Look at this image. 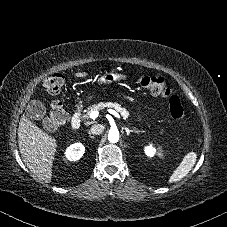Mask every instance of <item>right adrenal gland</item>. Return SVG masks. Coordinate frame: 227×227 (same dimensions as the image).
Instances as JSON below:
<instances>
[{"mask_svg": "<svg viewBox=\"0 0 227 227\" xmlns=\"http://www.w3.org/2000/svg\"><path fill=\"white\" fill-rule=\"evenodd\" d=\"M89 137L94 138V136L91 135V133L88 131Z\"/></svg>", "mask_w": 227, "mask_h": 227, "instance_id": "2a0ac1e0", "label": "right adrenal gland"}]
</instances>
